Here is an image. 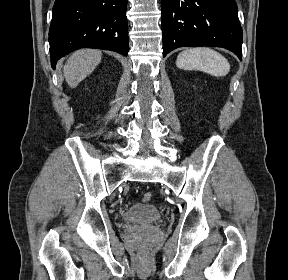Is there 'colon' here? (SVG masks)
I'll list each match as a JSON object with an SVG mask.
<instances>
[{
  "label": "colon",
  "instance_id": "obj_1",
  "mask_svg": "<svg viewBox=\"0 0 288 280\" xmlns=\"http://www.w3.org/2000/svg\"><path fill=\"white\" fill-rule=\"evenodd\" d=\"M143 202L149 203L152 200V194L151 193H145L143 195Z\"/></svg>",
  "mask_w": 288,
  "mask_h": 280
}]
</instances>
